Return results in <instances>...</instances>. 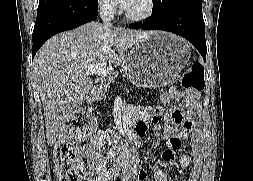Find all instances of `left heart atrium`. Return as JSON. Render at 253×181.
<instances>
[{"label":"left heart atrium","instance_id":"obj_1","mask_svg":"<svg viewBox=\"0 0 253 181\" xmlns=\"http://www.w3.org/2000/svg\"><path fill=\"white\" fill-rule=\"evenodd\" d=\"M118 1V3H119V5L123 8V9H125V10H127V9H129V7L133 4V2H134V0H117Z\"/></svg>","mask_w":253,"mask_h":181}]
</instances>
